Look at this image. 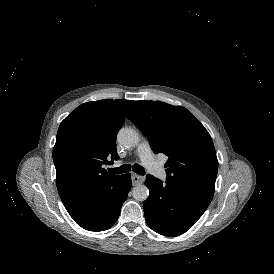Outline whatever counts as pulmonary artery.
Listing matches in <instances>:
<instances>
[{"instance_id":"e3ab8cb5","label":"pulmonary artery","mask_w":274,"mask_h":274,"mask_svg":"<svg viewBox=\"0 0 274 274\" xmlns=\"http://www.w3.org/2000/svg\"><path fill=\"white\" fill-rule=\"evenodd\" d=\"M136 154L139 156L143 165L148 168L149 173L158 177L163 176L164 170L158 165H155L153 161V153L148 141L143 140L136 149Z\"/></svg>"}]
</instances>
